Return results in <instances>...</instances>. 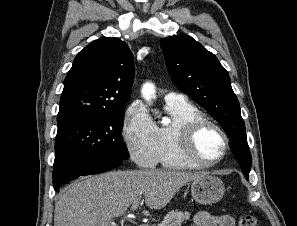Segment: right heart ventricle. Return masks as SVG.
Listing matches in <instances>:
<instances>
[{"label":"right heart ventricle","mask_w":297,"mask_h":226,"mask_svg":"<svg viewBox=\"0 0 297 226\" xmlns=\"http://www.w3.org/2000/svg\"><path fill=\"white\" fill-rule=\"evenodd\" d=\"M165 110L171 116L170 124L158 127L159 162L170 169L197 168L180 152L176 131L182 125L204 118V114L187 100L166 101Z\"/></svg>","instance_id":"1"}]
</instances>
